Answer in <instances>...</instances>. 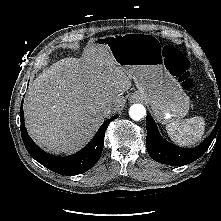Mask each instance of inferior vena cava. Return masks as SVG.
Segmentation results:
<instances>
[{
  "label": "inferior vena cava",
  "instance_id": "602c4592",
  "mask_svg": "<svg viewBox=\"0 0 221 221\" xmlns=\"http://www.w3.org/2000/svg\"><path fill=\"white\" fill-rule=\"evenodd\" d=\"M119 110V106L116 104H109L104 108V114L110 116Z\"/></svg>",
  "mask_w": 221,
  "mask_h": 221
}]
</instances>
